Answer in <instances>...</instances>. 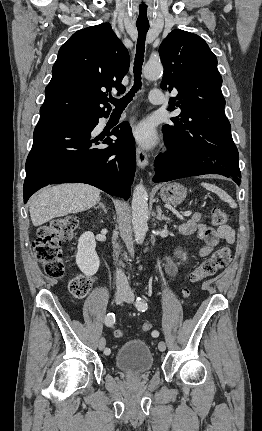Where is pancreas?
<instances>
[{"label":"pancreas","instance_id":"pancreas-1","mask_svg":"<svg viewBox=\"0 0 262 431\" xmlns=\"http://www.w3.org/2000/svg\"><path fill=\"white\" fill-rule=\"evenodd\" d=\"M193 221L197 222V221H199V219L197 217H194Z\"/></svg>","mask_w":262,"mask_h":431}]
</instances>
